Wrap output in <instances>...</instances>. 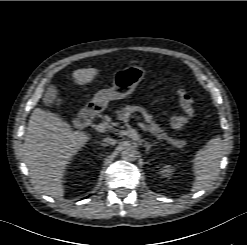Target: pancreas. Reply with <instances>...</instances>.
<instances>
[{"label":"pancreas","mask_w":247,"mask_h":245,"mask_svg":"<svg viewBox=\"0 0 247 245\" xmlns=\"http://www.w3.org/2000/svg\"><path fill=\"white\" fill-rule=\"evenodd\" d=\"M137 110L138 109H136L134 106L127 105L122 110H117L116 111L117 119L121 120V121H125L132 115V113H134ZM147 129H148V131L150 133L155 135L159 140L163 139V140L167 141L168 143H170L171 145H173L176 148H184L186 146V144H187V142L185 140H179V139L170 137L152 119H150V124L147 125Z\"/></svg>","instance_id":"pancreas-1"}]
</instances>
